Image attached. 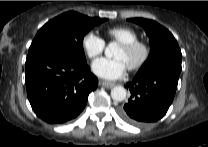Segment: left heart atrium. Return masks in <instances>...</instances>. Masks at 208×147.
Instances as JSON below:
<instances>
[{
  "instance_id": "left-heart-atrium-1",
  "label": "left heart atrium",
  "mask_w": 208,
  "mask_h": 147,
  "mask_svg": "<svg viewBox=\"0 0 208 147\" xmlns=\"http://www.w3.org/2000/svg\"><path fill=\"white\" fill-rule=\"evenodd\" d=\"M128 66L120 58H100L92 63L93 72L106 80H115L122 77Z\"/></svg>"
}]
</instances>
